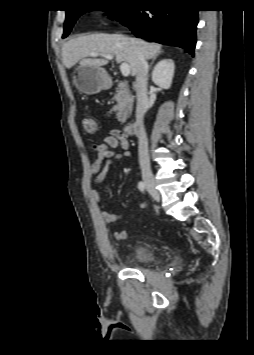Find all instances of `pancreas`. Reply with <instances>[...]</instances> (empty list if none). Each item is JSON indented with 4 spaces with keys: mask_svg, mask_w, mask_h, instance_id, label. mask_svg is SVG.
<instances>
[{
    "mask_svg": "<svg viewBox=\"0 0 254 355\" xmlns=\"http://www.w3.org/2000/svg\"><path fill=\"white\" fill-rule=\"evenodd\" d=\"M114 99L117 102L114 106V111L117 112L116 118L119 122L125 123L132 111L134 97L131 95L127 86L120 82Z\"/></svg>",
    "mask_w": 254,
    "mask_h": 355,
    "instance_id": "pancreas-1",
    "label": "pancreas"
}]
</instances>
